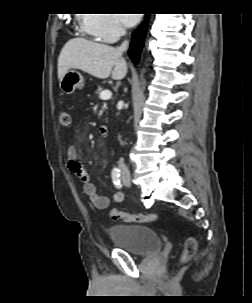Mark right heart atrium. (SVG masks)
<instances>
[{
	"instance_id": "right-heart-atrium-1",
	"label": "right heart atrium",
	"mask_w": 252,
	"mask_h": 303,
	"mask_svg": "<svg viewBox=\"0 0 252 303\" xmlns=\"http://www.w3.org/2000/svg\"><path fill=\"white\" fill-rule=\"evenodd\" d=\"M83 27L105 43H115L125 33L114 14H84Z\"/></svg>"
}]
</instances>
